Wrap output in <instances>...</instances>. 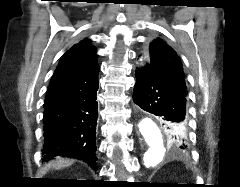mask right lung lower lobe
<instances>
[{"mask_svg":"<svg viewBox=\"0 0 240 187\" xmlns=\"http://www.w3.org/2000/svg\"><path fill=\"white\" fill-rule=\"evenodd\" d=\"M99 67L49 87L44 102L42 156L77 158L96 165V125Z\"/></svg>","mask_w":240,"mask_h":187,"instance_id":"98d812e1","label":"right lung lower lobe"}]
</instances>
